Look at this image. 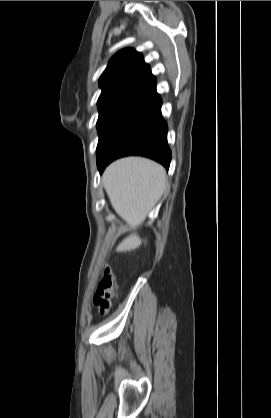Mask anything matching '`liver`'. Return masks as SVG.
Segmentation results:
<instances>
[{
	"instance_id": "liver-1",
	"label": "liver",
	"mask_w": 271,
	"mask_h": 418,
	"mask_svg": "<svg viewBox=\"0 0 271 418\" xmlns=\"http://www.w3.org/2000/svg\"><path fill=\"white\" fill-rule=\"evenodd\" d=\"M102 183L116 213L135 229L157 204L166 187V171L158 163L127 157L110 164ZM142 240L132 233L118 246L119 251L135 249Z\"/></svg>"
}]
</instances>
